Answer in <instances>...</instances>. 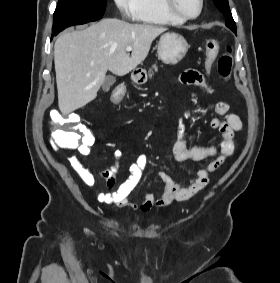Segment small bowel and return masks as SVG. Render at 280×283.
<instances>
[{"instance_id": "small-bowel-1", "label": "small bowel", "mask_w": 280, "mask_h": 283, "mask_svg": "<svg viewBox=\"0 0 280 283\" xmlns=\"http://www.w3.org/2000/svg\"><path fill=\"white\" fill-rule=\"evenodd\" d=\"M182 81L197 86L204 87L207 94H213V89L208 80L197 71H188L183 74ZM213 110L216 114L223 118H214L210 126L217 130L222 140L219 146L210 145H190L195 139L194 135H187L183 128L179 126L177 131V139L173 145V156L178 162L187 160L200 161L210 157H214L205 168L199 169L189 180L186 185L175 182L165 171L158 172V178L164 182L165 188L156 198L152 193H147L142 202L134 203L130 199L131 192L138 184L143 170L148 164V157L145 154H139L134 162L129 166V176L116 187V174L118 165L114 164L109 168L102 170L99 177L104 179L109 192L100 193L98 199L100 202L113 205L120 208H130L138 210L142 213H148L153 209H158L169 205L174 201H184L195 196L209 182V175L215 172L234 152V134L242 130L243 124L240 118L229 112L228 104L218 102L214 104ZM186 116H190L191 112L186 110ZM81 141L76 148L81 156H88L91 153V147L96 139L93 133L80 132ZM121 151H115L114 157L121 158ZM71 167L78 174L80 179L89 187L96 184V176L83 164L77 156L69 158Z\"/></svg>"}]
</instances>
